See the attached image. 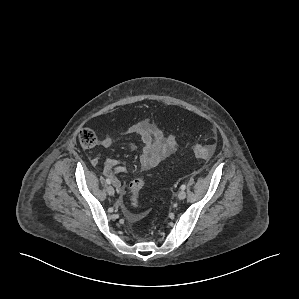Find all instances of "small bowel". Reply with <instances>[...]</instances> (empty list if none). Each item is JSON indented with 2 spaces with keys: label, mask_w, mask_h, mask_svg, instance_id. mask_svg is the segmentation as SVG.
Masks as SVG:
<instances>
[{
  "label": "small bowel",
  "mask_w": 299,
  "mask_h": 299,
  "mask_svg": "<svg viewBox=\"0 0 299 299\" xmlns=\"http://www.w3.org/2000/svg\"><path fill=\"white\" fill-rule=\"evenodd\" d=\"M122 135L140 137L143 149L140 156V164L143 170H150L160 164L177 149V142L173 136H165L162 130L149 120L144 119L133 124L121 132ZM118 141L112 134H106L101 140V146L110 148ZM99 162L98 157L92 159V164ZM104 174L110 177L116 187L122 191L121 182L115 177L116 173L126 172V168L117 160L108 158L104 161ZM136 218L137 216H132Z\"/></svg>",
  "instance_id": "obj_1"
}]
</instances>
